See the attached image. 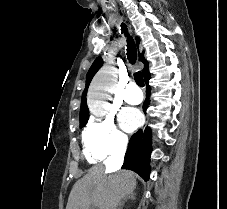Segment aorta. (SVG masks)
I'll return each instance as SVG.
<instances>
[{
    "instance_id": "1",
    "label": "aorta",
    "mask_w": 227,
    "mask_h": 209,
    "mask_svg": "<svg viewBox=\"0 0 227 209\" xmlns=\"http://www.w3.org/2000/svg\"><path fill=\"white\" fill-rule=\"evenodd\" d=\"M117 70L111 65H105L92 80L88 92V107L92 114L102 116L110 108L108 100L116 86Z\"/></svg>"
}]
</instances>
